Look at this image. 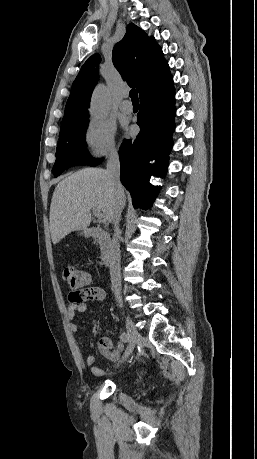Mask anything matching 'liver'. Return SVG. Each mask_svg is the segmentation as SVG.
<instances>
[{"label": "liver", "mask_w": 257, "mask_h": 459, "mask_svg": "<svg viewBox=\"0 0 257 459\" xmlns=\"http://www.w3.org/2000/svg\"><path fill=\"white\" fill-rule=\"evenodd\" d=\"M115 195L107 171L85 168L58 183L50 206V233L53 244L73 231L86 230L91 223V209L99 210L105 222H112Z\"/></svg>", "instance_id": "liver-1"}]
</instances>
